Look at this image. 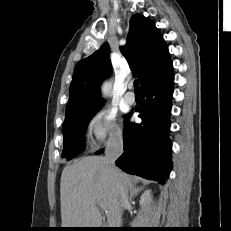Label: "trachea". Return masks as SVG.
Returning <instances> with one entry per match:
<instances>
[{"instance_id":"1","label":"trachea","mask_w":231,"mask_h":231,"mask_svg":"<svg viewBox=\"0 0 231 231\" xmlns=\"http://www.w3.org/2000/svg\"><path fill=\"white\" fill-rule=\"evenodd\" d=\"M134 90L135 92H140L139 81L137 79L134 81Z\"/></svg>"}]
</instances>
